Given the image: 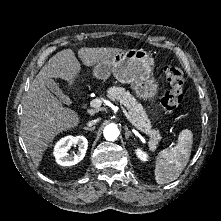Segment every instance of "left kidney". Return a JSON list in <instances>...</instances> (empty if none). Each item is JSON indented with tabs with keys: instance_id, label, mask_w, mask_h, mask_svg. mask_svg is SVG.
<instances>
[{
	"instance_id": "5707ae66",
	"label": "left kidney",
	"mask_w": 221,
	"mask_h": 221,
	"mask_svg": "<svg viewBox=\"0 0 221 221\" xmlns=\"http://www.w3.org/2000/svg\"><path fill=\"white\" fill-rule=\"evenodd\" d=\"M136 155L137 157L142 160V161H147L148 160V154L146 152H144L141 149H136Z\"/></svg>"
}]
</instances>
